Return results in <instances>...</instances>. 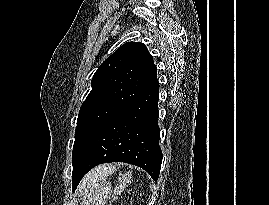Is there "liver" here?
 <instances>
[{"mask_svg":"<svg viewBox=\"0 0 269 205\" xmlns=\"http://www.w3.org/2000/svg\"><path fill=\"white\" fill-rule=\"evenodd\" d=\"M113 170V165H102L93 169L83 180L80 192H86L87 190L91 189Z\"/></svg>","mask_w":269,"mask_h":205,"instance_id":"1","label":"liver"}]
</instances>
